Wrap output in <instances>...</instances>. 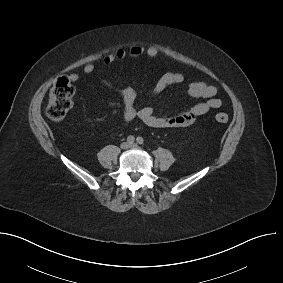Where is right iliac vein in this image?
I'll list each match as a JSON object with an SVG mask.
<instances>
[{"instance_id":"63e3f726","label":"right iliac vein","mask_w":283,"mask_h":283,"mask_svg":"<svg viewBox=\"0 0 283 283\" xmlns=\"http://www.w3.org/2000/svg\"><path fill=\"white\" fill-rule=\"evenodd\" d=\"M121 149H128L129 148V144L128 142H123L120 144Z\"/></svg>"}]
</instances>
